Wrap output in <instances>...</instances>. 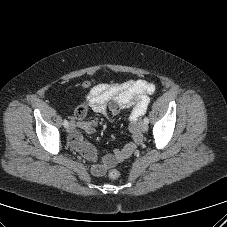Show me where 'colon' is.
<instances>
[{
    "label": "colon",
    "instance_id": "5ec220e1",
    "mask_svg": "<svg viewBox=\"0 0 227 227\" xmlns=\"http://www.w3.org/2000/svg\"><path fill=\"white\" fill-rule=\"evenodd\" d=\"M109 177L113 180H116L120 177V172L117 169H112L109 171Z\"/></svg>",
    "mask_w": 227,
    "mask_h": 227
}]
</instances>
